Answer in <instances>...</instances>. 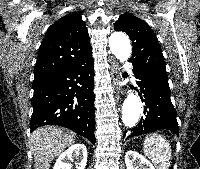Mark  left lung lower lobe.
Here are the masks:
<instances>
[{
  "label": "left lung lower lobe",
  "mask_w": 200,
  "mask_h": 169,
  "mask_svg": "<svg viewBox=\"0 0 200 169\" xmlns=\"http://www.w3.org/2000/svg\"><path fill=\"white\" fill-rule=\"evenodd\" d=\"M137 84L144 93L145 116L131 132L124 133L126 139L166 129L179 134L176 110L171 103L168 78L158 76L149 69L133 66Z\"/></svg>",
  "instance_id": "1"
}]
</instances>
